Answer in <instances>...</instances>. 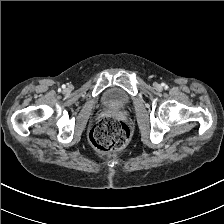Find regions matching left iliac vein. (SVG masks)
<instances>
[{"instance_id":"4c4485c4","label":"left iliac vein","mask_w":224,"mask_h":224,"mask_svg":"<svg viewBox=\"0 0 224 224\" xmlns=\"http://www.w3.org/2000/svg\"><path fill=\"white\" fill-rule=\"evenodd\" d=\"M154 87L157 91H162V86L159 83H155Z\"/></svg>"}]
</instances>
